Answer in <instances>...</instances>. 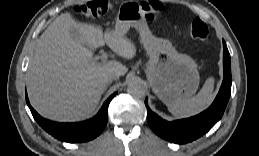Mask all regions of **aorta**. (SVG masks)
<instances>
[{
	"instance_id": "aorta-1",
	"label": "aorta",
	"mask_w": 259,
	"mask_h": 156,
	"mask_svg": "<svg viewBox=\"0 0 259 156\" xmlns=\"http://www.w3.org/2000/svg\"><path fill=\"white\" fill-rule=\"evenodd\" d=\"M127 92L134 98H143L145 96V89L139 82H130L127 87Z\"/></svg>"
}]
</instances>
